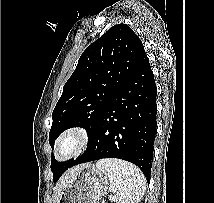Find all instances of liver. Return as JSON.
<instances>
[{
	"mask_svg": "<svg viewBox=\"0 0 214 203\" xmlns=\"http://www.w3.org/2000/svg\"><path fill=\"white\" fill-rule=\"evenodd\" d=\"M80 168L81 166H77L68 170L60 179V182L57 186L56 199H58L60 192L74 180V177Z\"/></svg>",
	"mask_w": 214,
	"mask_h": 203,
	"instance_id": "liver-1",
	"label": "liver"
}]
</instances>
